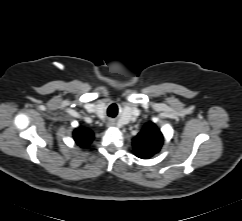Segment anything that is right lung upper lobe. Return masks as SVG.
I'll return each mask as SVG.
<instances>
[{"label": "right lung upper lobe", "mask_w": 242, "mask_h": 221, "mask_svg": "<svg viewBox=\"0 0 242 221\" xmlns=\"http://www.w3.org/2000/svg\"><path fill=\"white\" fill-rule=\"evenodd\" d=\"M74 139L79 146L85 148L92 142L93 132L89 129L79 127L74 131Z\"/></svg>", "instance_id": "1"}]
</instances>
